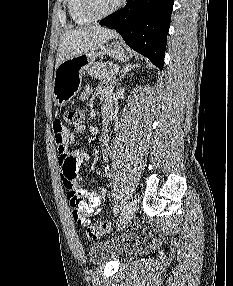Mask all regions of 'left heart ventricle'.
Masks as SVG:
<instances>
[{"label":"left heart ventricle","instance_id":"1","mask_svg":"<svg viewBox=\"0 0 233 286\" xmlns=\"http://www.w3.org/2000/svg\"><path fill=\"white\" fill-rule=\"evenodd\" d=\"M118 0H92L96 12L101 13L112 8Z\"/></svg>","mask_w":233,"mask_h":286}]
</instances>
